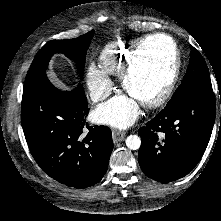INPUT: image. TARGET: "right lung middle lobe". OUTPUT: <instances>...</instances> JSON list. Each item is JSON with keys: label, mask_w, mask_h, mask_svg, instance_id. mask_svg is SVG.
Listing matches in <instances>:
<instances>
[{"label": "right lung middle lobe", "mask_w": 221, "mask_h": 221, "mask_svg": "<svg viewBox=\"0 0 221 221\" xmlns=\"http://www.w3.org/2000/svg\"><path fill=\"white\" fill-rule=\"evenodd\" d=\"M94 31L81 35L75 39L53 40L47 42L37 53L24 82V88L31 86L34 81L45 74L48 62L54 53H62L66 57L76 61L79 76L82 78L84 73L85 58L87 49L93 38Z\"/></svg>", "instance_id": "obj_1"}]
</instances>
